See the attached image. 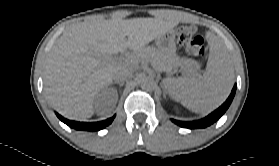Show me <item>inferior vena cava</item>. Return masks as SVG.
<instances>
[{"instance_id":"obj_1","label":"inferior vena cava","mask_w":279,"mask_h":166,"mask_svg":"<svg viewBox=\"0 0 279 166\" xmlns=\"http://www.w3.org/2000/svg\"><path fill=\"white\" fill-rule=\"evenodd\" d=\"M132 76V69L129 67H122L114 74L113 79L115 82H124Z\"/></svg>"}]
</instances>
